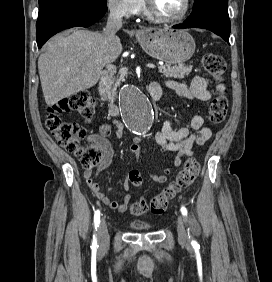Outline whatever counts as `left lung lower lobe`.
I'll use <instances>...</instances> for the list:
<instances>
[{
    "label": "left lung lower lobe",
    "mask_w": 272,
    "mask_h": 282,
    "mask_svg": "<svg viewBox=\"0 0 272 282\" xmlns=\"http://www.w3.org/2000/svg\"><path fill=\"white\" fill-rule=\"evenodd\" d=\"M173 28H204L229 42L230 20L227 0H195L189 18Z\"/></svg>",
    "instance_id": "left-lung-lower-lobe-1"
}]
</instances>
